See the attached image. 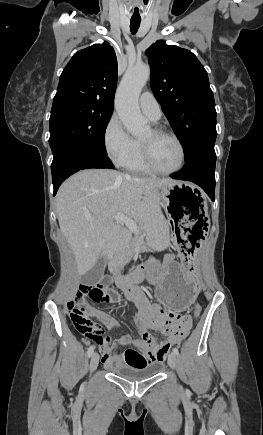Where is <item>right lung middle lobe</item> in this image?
Instances as JSON below:
<instances>
[{
	"label": "right lung middle lobe",
	"mask_w": 263,
	"mask_h": 435,
	"mask_svg": "<svg viewBox=\"0 0 263 435\" xmlns=\"http://www.w3.org/2000/svg\"><path fill=\"white\" fill-rule=\"evenodd\" d=\"M114 107L77 102L52 106L49 144L53 159L68 147L107 154L104 137Z\"/></svg>",
	"instance_id": "dd1d6c3e"
}]
</instances>
